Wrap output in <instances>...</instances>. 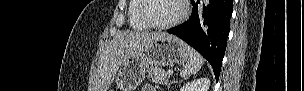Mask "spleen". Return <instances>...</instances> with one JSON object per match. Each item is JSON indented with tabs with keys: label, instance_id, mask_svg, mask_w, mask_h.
<instances>
[{
	"label": "spleen",
	"instance_id": "obj_1",
	"mask_svg": "<svg viewBox=\"0 0 304 91\" xmlns=\"http://www.w3.org/2000/svg\"><path fill=\"white\" fill-rule=\"evenodd\" d=\"M203 58L202 56L196 52L194 49L189 47V59L187 63L183 66V70L180 73L181 77H188L192 74H195L200 70L203 65Z\"/></svg>",
	"mask_w": 304,
	"mask_h": 91
}]
</instances>
